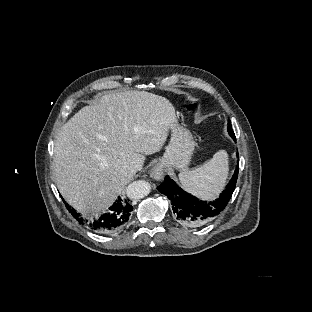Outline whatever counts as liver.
I'll return each mask as SVG.
<instances>
[{
    "mask_svg": "<svg viewBox=\"0 0 312 312\" xmlns=\"http://www.w3.org/2000/svg\"><path fill=\"white\" fill-rule=\"evenodd\" d=\"M178 125L163 97L145 91L104 95L71 117L56 138L58 189L82 213L107 209L133 176L130 165L160 152Z\"/></svg>",
    "mask_w": 312,
    "mask_h": 312,
    "instance_id": "liver-1",
    "label": "liver"
}]
</instances>
